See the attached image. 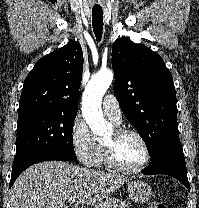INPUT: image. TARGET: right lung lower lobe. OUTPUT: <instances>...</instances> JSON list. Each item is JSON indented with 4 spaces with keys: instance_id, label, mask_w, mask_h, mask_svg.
I'll return each instance as SVG.
<instances>
[{
    "instance_id": "98d812e1",
    "label": "right lung lower lobe",
    "mask_w": 199,
    "mask_h": 208,
    "mask_svg": "<svg viewBox=\"0 0 199 208\" xmlns=\"http://www.w3.org/2000/svg\"><path fill=\"white\" fill-rule=\"evenodd\" d=\"M48 160H57V161H68L63 156L56 154V153H45V154H38L33 155L28 159H25L12 167V174H11V180H10V187L15 182L16 178L29 166L42 162V161H48Z\"/></svg>"
}]
</instances>
